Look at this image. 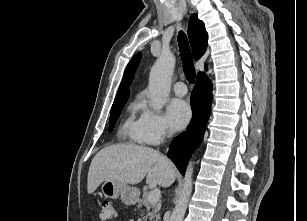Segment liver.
Listing matches in <instances>:
<instances>
[{"label": "liver", "mask_w": 307, "mask_h": 221, "mask_svg": "<svg viewBox=\"0 0 307 221\" xmlns=\"http://www.w3.org/2000/svg\"><path fill=\"white\" fill-rule=\"evenodd\" d=\"M146 177L147 184L171 186L176 168L158 150L136 144H115L101 149L93 158L87 189L92 194L106 180L138 184Z\"/></svg>", "instance_id": "1"}]
</instances>
